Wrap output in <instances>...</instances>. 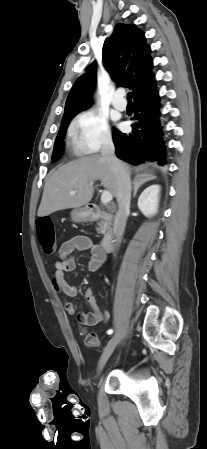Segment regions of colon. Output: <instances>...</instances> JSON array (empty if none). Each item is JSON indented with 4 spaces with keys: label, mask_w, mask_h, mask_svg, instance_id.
Wrapping results in <instances>:
<instances>
[{
    "label": "colon",
    "mask_w": 207,
    "mask_h": 449,
    "mask_svg": "<svg viewBox=\"0 0 207 449\" xmlns=\"http://www.w3.org/2000/svg\"><path fill=\"white\" fill-rule=\"evenodd\" d=\"M38 237L41 248L44 253H53L56 250L54 225L47 217L39 218L37 221ZM76 326L80 327V322H76ZM84 342L87 346L97 347L100 344L99 338L94 332L83 331Z\"/></svg>",
    "instance_id": "1"
}]
</instances>
